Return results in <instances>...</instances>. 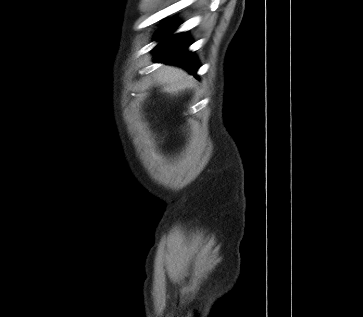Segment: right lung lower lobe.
<instances>
[{
    "label": "right lung lower lobe",
    "mask_w": 363,
    "mask_h": 317,
    "mask_svg": "<svg viewBox=\"0 0 363 317\" xmlns=\"http://www.w3.org/2000/svg\"><path fill=\"white\" fill-rule=\"evenodd\" d=\"M177 26L169 23L158 33L157 39L163 40L153 50L156 55L155 61L176 64L195 74L199 66L192 53L186 51L191 44L189 38L184 34L169 36Z\"/></svg>",
    "instance_id": "98d812e1"
}]
</instances>
